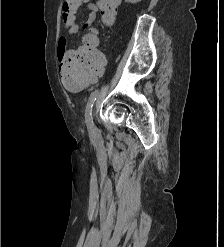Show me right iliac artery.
Wrapping results in <instances>:
<instances>
[{
	"mask_svg": "<svg viewBox=\"0 0 224 247\" xmlns=\"http://www.w3.org/2000/svg\"><path fill=\"white\" fill-rule=\"evenodd\" d=\"M97 95H98V90H95L94 92L91 93L87 106H86V112H85V120H86L89 134L91 136H93L95 133V126H94V122L92 118V107L97 98Z\"/></svg>",
	"mask_w": 224,
	"mask_h": 247,
	"instance_id": "obj_1",
	"label": "right iliac artery"
}]
</instances>
